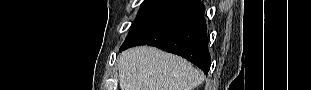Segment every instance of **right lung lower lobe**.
I'll use <instances>...</instances> for the list:
<instances>
[{
	"label": "right lung lower lobe",
	"mask_w": 311,
	"mask_h": 90,
	"mask_svg": "<svg viewBox=\"0 0 311 90\" xmlns=\"http://www.w3.org/2000/svg\"><path fill=\"white\" fill-rule=\"evenodd\" d=\"M204 11V5L199 0H192L171 20L137 41L123 44L120 51L138 45L155 46L188 59L207 74L211 58Z\"/></svg>",
	"instance_id": "obj_1"
}]
</instances>
